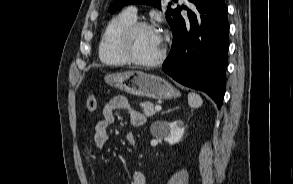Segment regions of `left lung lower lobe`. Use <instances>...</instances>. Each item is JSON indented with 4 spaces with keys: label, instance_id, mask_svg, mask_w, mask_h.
I'll use <instances>...</instances> for the list:
<instances>
[{
    "label": "left lung lower lobe",
    "instance_id": "obj_1",
    "mask_svg": "<svg viewBox=\"0 0 293 184\" xmlns=\"http://www.w3.org/2000/svg\"><path fill=\"white\" fill-rule=\"evenodd\" d=\"M174 10L173 45L162 69L179 83L204 91L221 107L225 92L229 24L224 0H188Z\"/></svg>",
    "mask_w": 293,
    "mask_h": 184
}]
</instances>
